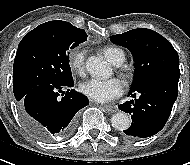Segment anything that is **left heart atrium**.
Returning a JSON list of instances; mask_svg holds the SVG:
<instances>
[{
    "instance_id": "left-heart-atrium-1",
    "label": "left heart atrium",
    "mask_w": 190,
    "mask_h": 165,
    "mask_svg": "<svg viewBox=\"0 0 190 165\" xmlns=\"http://www.w3.org/2000/svg\"><path fill=\"white\" fill-rule=\"evenodd\" d=\"M80 91L94 101L108 102L122 94L123 84L117 78H91L80 85Z\"/></svg>"
}]
</instances>
